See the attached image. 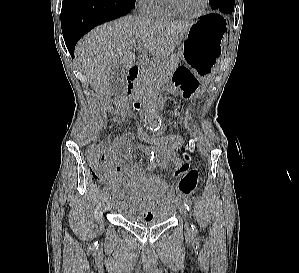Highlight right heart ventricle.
<instances>
[{
  "instance_id": "1",
  "label": "right heart ventricle",
  "mask_w": 299,
  "mask_h": 273,
  "mask_svg": "<svg viewBox=\"0 0 299 273\" xmlns=\"http://www.w3.org/2000/svg\"><path fill=\"white\" fill-rule=\"evenodd\" d=\"M145 15L154 19H170L178 14L171 10L166 0H153Z\"/></svg>"
}]
</instances>
